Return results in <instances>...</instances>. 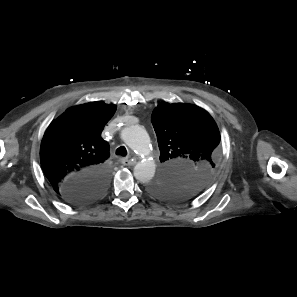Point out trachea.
Listing matches in <instances>:
<instances>
[{"label": "trachea", "instance_id": "obj_1", "mask_svg": "<svg viewBox=\"0 0 297 297\" xmlns=\"http://www.w3.org/2000/svg\"><path fill=\"white\" fill-rule=\"evenodd\" d=\"M116 155L126 156L127 155L126 148L124 146H120L119 148H117Z\"/></svg>", "mask_w": 297, "mask_h": 297}]
</instances>
